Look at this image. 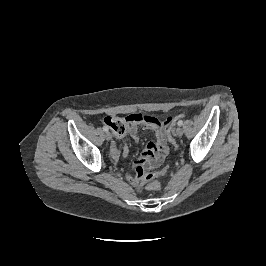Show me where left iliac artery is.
Wrapping results in <instances>:
<instances>
[{
    "label": "left iliac artery",
    "instance_id": "obj_1",
    "mask_svg": "<svg viewBox=\"0 0 266 266\" xmlns=\"http://www.w3.org/2000/svg\"><path fill=\"white\" fill-rule=\"evenodd\" d=\"M177 124H178V126H182L183 125V121L179 120Z\"/></svg>",
    "mask_w": 266,
    "mask_h": 266
}]
</instances>
